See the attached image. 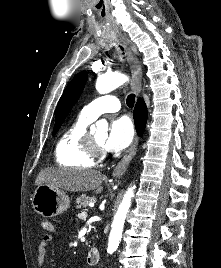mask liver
Segmentation results:
<instances>
[{
    "instance_id": "1",
    "label": "liver",
    "mask_w": 221,
    "mask_h": 268,
    "mask_svg": "<svg viewBox=\"0 0 221 268\" xmlns=\"http://www.w3.org/2000/svg\"><path fill=\"white\" fill-rule=\"evenodd\" d=\"M104 176L96 170H78L63 167L42 169L35 180V185L47 184L56 189L71 192L94 190L96 194L103 191Z\"/></svg>"
}]
</instances>
